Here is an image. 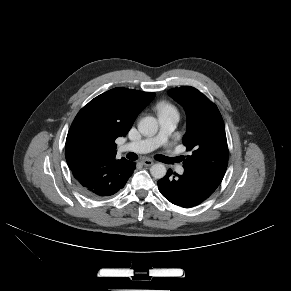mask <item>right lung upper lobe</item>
I'll list each match as a JSON object with an SVG mask.
<instances>
[{
	"mask_svg": "<svg viewBox=\"0 0 291 291\" xmlns=\"http://www.w3.org/2000/svg\"><path fill=\"white\" fill-rule=\"evenodd\" d=\"M154 95L153 92L117 87L85 105L66 138L65 156L69 168L96 157L116 156V138L126 136Z\"/></svg>",
	"mask_w": 291,
	"mask_h": 291,
	"instance_id": "cb5924a9",
	"label": "right lung upper lobe"
}]
</instances>
